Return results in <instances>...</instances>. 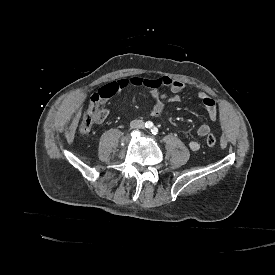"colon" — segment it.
<instances>
[{
    "mask_svg": "<svg viewBox=\"0 0 275 275\" xmlns=\"http://www.w3.org/2000/svg\"><path fill=\"white\" fill-rule=\"evenodd\" d=\"M106 117V108L99 103L96 98H92L91 105L83 116L80 124V130L83 132H89L92 128L94 121L102 120ZM208 146L212 147L216 143V138L212 135L206 139Z\"/></svg>",
    "mask_w": 275,
    "mask_h": 275,
    "instance_id": "5ec220e1",
    "label": "colon"
}]
</instances>
